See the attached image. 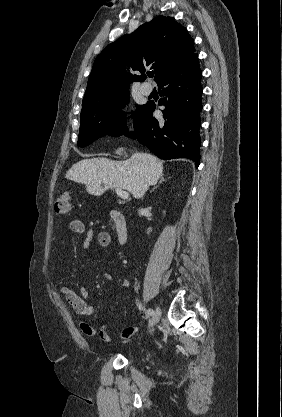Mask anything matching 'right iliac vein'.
<instances>
[{
    "mask_svg": "<svg viewBox=\"0 0 282 417\" xmlns=\"http://www.w3.org/2000/svg\"><path fill=\"white\" fill-rule=\"evenodd\" d=\"M160 315H161V310L157 306L156 307V310H155V313H154V315H153V317H152V319L150 321V325H149L150 327H153V326H155L157 324V322L159 321Z\"/></svg>",
    "mask_w": 282,
    "mask_h": 417,
    "instance_id": "63e3f726",
    "label": "right iliac vein"
}]
</instances>
